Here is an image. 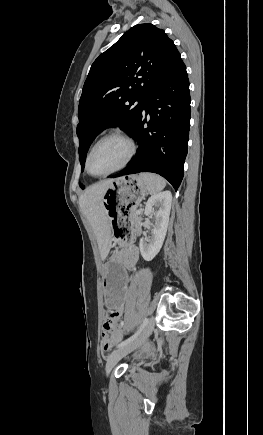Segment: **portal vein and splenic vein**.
Listing matches in <instances>:
<instances>
[{"mask_svg":"<svg viewBox=\"0 0 263 435\" xmlns=\"http://www.w3.org/2000/svg\"><path fill=\"white\" fill-rule=\"evenodd\" d=\"M139 213H140V211L138 210V211H137V214H139Z\"/></svg>","mask_w":263,"mask_h":435,"instance_id":"1","label":"portal vein and splenic vein"}]
</instances>
